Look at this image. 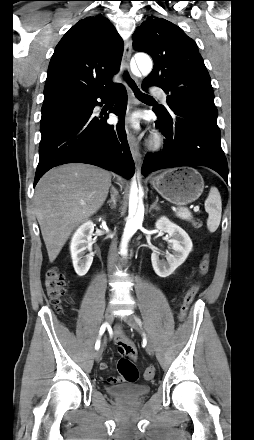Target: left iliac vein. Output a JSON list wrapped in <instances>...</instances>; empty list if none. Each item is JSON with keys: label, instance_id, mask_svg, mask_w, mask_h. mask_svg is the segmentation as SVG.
Returning <instances> with one entry per match:
<instances>
[{"label": "left iliac vein", "instance_id": "4c4485c4", "mask_svg": "<svg viewBox=\"0 0 254 440\" xmlns=\"http://www.w3.org/2000/svg\"><path fill=\"white\" fill-rule=\"evenodd\" d=\"M124 321L131 327H133L135 330H137L138 332L144 334V329L143 327L140 325V323L136 320V318L133 315H128L124 318ZM147 350L149 351V353L153 354L155 351V347L154 344L152 343V341L147 338Z\"/></svg>", "mask_w": 254, "mask_h": 440}]
</instances>
